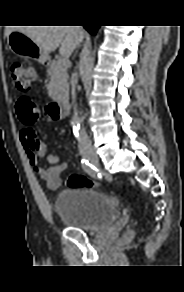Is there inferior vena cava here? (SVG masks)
Listing matches in <instances>:
<instances>
[{"label": "inferior vena cava", "instance_id": "602c4592", "mask_svg": "<svg viewBox=\"0 0 184 292\" xmlns=\"http://www.w3.org/2000/svg\"><path fill=\"white\" fill-rule=\"evenodd\" d=\"M78 28H81V27H78ZM73 78H74V80L76 82L77 81V78H78L77 73H74L73 74ZM75 96H76V94H75V85H73V88H72V97H73V100L75 99ZM76 120H77V122L79 124H82V121H83L82 118L77 117ZM80 132H81V137H80L81 143L79 145V148H80L81 152H85V151L92 150L91 141H90V139H89V137H88L85 129L84 128H81L80 129Z\"/></svg>", "mask_w": 184, "mask_h": 292}]
</instances>
